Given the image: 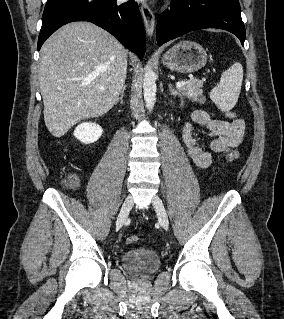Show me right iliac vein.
<instances>
[{
  "label": "right iliac vein",
  "instance_id": "63e3f726",
  "mask_svg": "<svg viewBox=\"0 0 284 319\" xmlns=\"http://www.w3.org/2000/svg\"><path fill=\"white\" fill-rule=\"evenodd\" d=\"M133 205V198L131 195H128L124 201V203L122 204V207L120 209L117 221H116V226L118 228H121L122 225L124 224V222L126 221L129 212L132 208Z\"/></svg>",
  "mask_w": 284,
  "mask_h": 319
}]
</instances>
